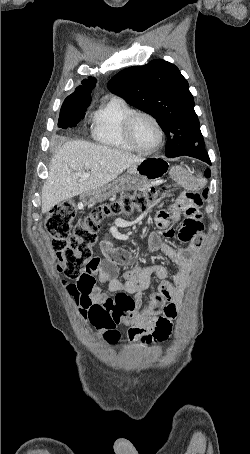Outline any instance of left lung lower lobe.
Listing matches in <instances>:
<instances>
[{
  "label": "left lung lower lobe",
  "instance_id": "left-lung-lower-lobe-1",
  "mask_svg": "<svg viewBox=\"0 0 250 454\" xmlns=\"http://www.w3.org/2000/svg\"><path fill=\"white\" fill-rule=\"evenodd\" d=\"M181 155H186V156H191V157H194V158H198L208 164H211L210 162V159H209V156L205 150V148H200V149H195L193 151H190V152H186V153H183ZM181 155H175L173 157H177V156H181Z\"/></svg>",
  "mask_w": 250,
  "mask_h": 454
}]
</instances>
